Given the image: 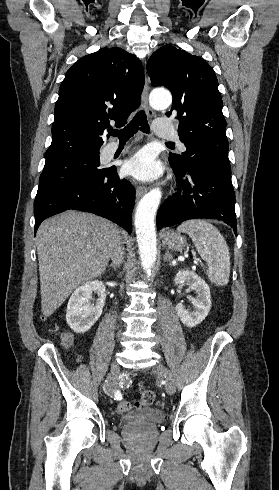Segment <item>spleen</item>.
Returning a JSON list of instances; mask_svg holds the SVG:
<instances>
[{"instance_id": "spleen-1", "label": "spleen", "mask_w": 279, "mask_h": 490, "mask_svg": "<svg viewBox=\"0 0 279 490\" xmlns=\"http://www.w3.org/2000/svg\"><path fill=\"white\" fill-rule=\"evenodd\" d=\"M177 232L189 234L198 254L207 262L208 278L216 286H227L230 276V254L225 238L205 220H188Z\"/></svg>"}]
</instances>
